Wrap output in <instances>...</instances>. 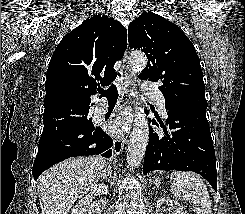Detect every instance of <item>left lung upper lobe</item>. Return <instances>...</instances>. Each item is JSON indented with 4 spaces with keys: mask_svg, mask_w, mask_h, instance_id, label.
I'll return each mask as SVG.
<instances>
[{
    "mask_svg": "<svg viewBox=\"0 0 245 214\" xmlns=\"http://www.w3.org/2000/svg\"><path fill=\"white\" fill-rule=\"evenodd\" d=\"M131 49L143 51L148 63L140 79L161 82L167 109L187 105L207 107L205 84L193 43L165 18L143 12L128 27Z\"/></svg>",
    "mask_w": 245,
    "mask_h": 214,
    "instance_id": "5c2ea615",
    "label": "left lung upper lobe"
}]
</instances>
